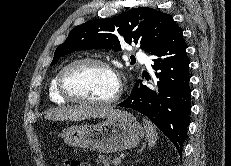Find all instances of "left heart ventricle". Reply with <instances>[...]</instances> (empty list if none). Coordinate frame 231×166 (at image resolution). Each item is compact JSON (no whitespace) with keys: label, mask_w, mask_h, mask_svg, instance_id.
Returning <instances> with one entry per match:
<instances>
[{"label":"left heart ventricle","mask_w":231,"mask_h":166,"mask_svg":"<svg viewBox=\"0 0 231 166\" xmlns=\"http://www.w3.org/2000/svg\"><path fill=\"white\" fill-rule=\"evenodd\" d=\"M65 85L77 97L105 100L116 93L117 79L102 66L83 65L69 71L65 78Z\"/></svg>","instance_id":"left-heart-ventricle-1"}]
</instances>
